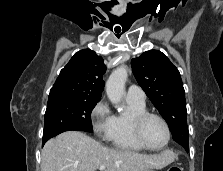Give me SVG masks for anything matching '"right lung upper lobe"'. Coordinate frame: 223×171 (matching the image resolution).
I'll return each mask as SVG.
<instances>
[{
	"mask_svg": "<svg viewBox=\"0 0 223 171\" xmlns=\"http://www.w3.org/2000/svg\"><path fill=\"white\" fill-rule=\"evenodd\" d=\"M105 72L102 57L90 49L80 50L61 70L50 90L49 100L63 97L100 100Z\"/></svg>",
	"mask_w": 223,
	"mask_h": 171,
	"instance_id": "cb5924a9",
	"label": "right lung upper lobe"
}]
</instances>
